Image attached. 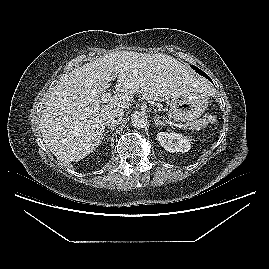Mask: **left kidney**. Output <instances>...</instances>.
I'll return each instance as SVG.
<instances>
[{"label": "left kidney", "instance_id": "5707ae66", "mask_svg": "<svg viewBox=\"0 0 269 269\" xmlns=\"http://www.w3.org/2000/svg\"><path fill=\"white\" fill-rule=\"evenodd\" d=\"M157 139L168 152H188L191 148L190 140L179 133L159 132Z\"/></svg>", "mask_w": 269, "mask_h": 269}]
</instances>
